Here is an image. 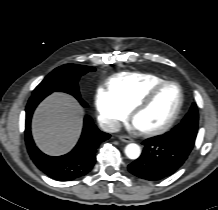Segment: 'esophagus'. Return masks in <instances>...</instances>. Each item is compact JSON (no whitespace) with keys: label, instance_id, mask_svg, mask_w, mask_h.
<instances>
[{"label":"esophagus","instance_id":"obj_1","mask_svg":"<svg viewBox=\"0 0 218 210\" xmlns=\"http://www.w3.org/2000/svg\"><path fill=\"white\" fill-rule=\"evenodd\" d=\"M119 140L125 142V143H129L132 142V138H130L129 136H125V135H120L119 136Z\"/></svg>","mask_w":218,"mask_h":210}]
</instances>
